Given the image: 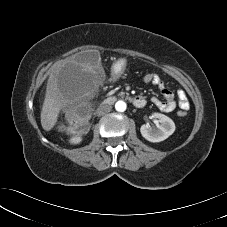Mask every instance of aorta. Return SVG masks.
I'll return each mask as SVG.
<instances>
[{
    "instance_id": "obj_1",
    "label": "aorta",
    "mask_w": 227,
    "mask_h": 227,
    "mask_svg": "<svg viewBox=\"0 0 227 227\" xmlns=\"http://www.w3.org/2000/svg\"><path fill=\"white\" fill-rule=\"evenodd\" d=\"M126 108H127V104L122 100H119L115 103V109L118 112H124Z\"/></svg>"
}]
</instances>
